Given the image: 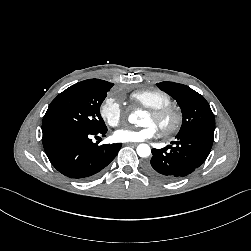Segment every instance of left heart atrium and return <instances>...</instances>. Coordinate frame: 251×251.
Returning <instances> with one entry per match:
<instances>
[{"instance_id":"obj_1","label":"left heart atrium","mask_w":251,"mask_h":251,"mask_svg":"<svg viewBox=\"0 0 251 251\" xmlns=\"http://www.w3.org/2000/svg\"><path fill=\"white\" fill-rule=\"evenodd\" d=\"M157 128L153 124H147L142 128H122L114 133V138L118 142H141L154 137Z\"/></svg>"}]
</instances>
